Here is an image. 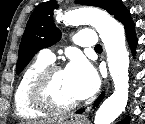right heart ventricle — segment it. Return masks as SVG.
Returning a JSON list of instances; mask_svg holds the SVG:
<instances>
[{
    "label": "right heart ventricle",
    "mask_w": 145,
    "mask_h": 124,
    "mask_svg": "<svg viewBox=\"0 0 145 124\" xmlns=\"http://www.w3.org/2000/svg\"><path fill=\"white\" fill-rule=\"evenodd\" d=\"M49 64L50 62L47 60L38 57L26 68L20 77L14 95L15 109L19 117L28 119L39 118L46 115V112L39 111L31 105L29 92L31 84L37 74Z\"/></svg>",
    "instance_id": "1"
}]
</instances>
